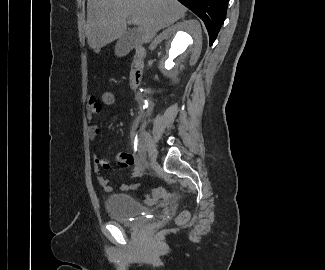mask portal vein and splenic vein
<instances>
[{
  "label": "portal vein and splenic vein",
  "instance_id": "portal-vein-and-splenic-vein-1",
  "mask_svg": "<svg viewBox=\"0 0 325 270\" xmlns=\"http://www.w3.org/2000/svg\"><path fill=\"white\" fill-rule=\"evenodd\" d=\"M131 22H132L133 24H139V20H138L137 17H132Z\"/></svg>",
  "mask_w": 325,
  "mask_h": 270
}]
</instances>
